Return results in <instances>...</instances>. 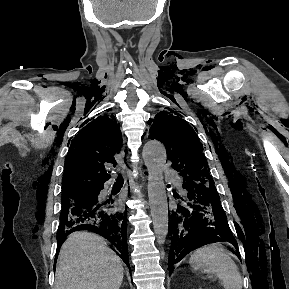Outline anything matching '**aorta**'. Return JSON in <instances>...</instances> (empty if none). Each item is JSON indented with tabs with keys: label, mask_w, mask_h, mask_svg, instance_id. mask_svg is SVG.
I'll list each match as a JSON object with an SVG mask.
<instances>
[{
	"label": "aorta",
	"mask_w": 289,
	"mask_h": 289,
	"mask_svg": "<svg viewBox=\"0 0 289 289\" xmlns=\"http://www.w3.org/2000/svg\"><path fill=\"white\" fill-rule=\"evenodd\" d=\"M143 159L148 172V197L153 229L158 244L165 242L169 228L168 202L163 171L167 159L164 145L155 140L143 147Z\"/></svg>",
	"instance_id": "obj_1"
}]
</instances>
